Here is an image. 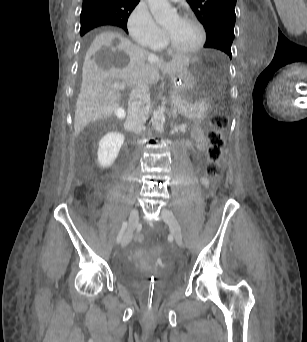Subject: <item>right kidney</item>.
<instances>
[{
    "label": "right kidney",
    "instance_id": "ca27d5eb",
    "mask_svg": "<svg viewBox=\"0 0 307 342\" xmlns=\"http://www.w3.org/2000/svg\"><path fill=\"white\" fill-rule=\"evenodd\" d=\"M123 144L124 136L120 132H108L101 138L97 154L100 168H110L114 164Z\"/></svg>",
    "mask_w": 307,
    "mask_h": 342
}]
</instances>
